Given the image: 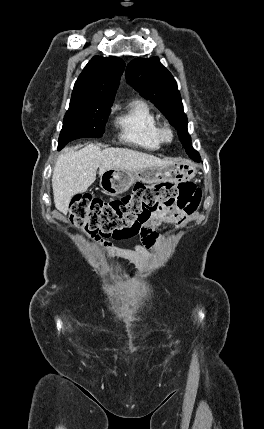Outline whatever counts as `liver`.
Segmentation results:
<instances>
[{
  "label": "liver",
  "instance_id": "liver-1",
  "mask_svg": "<svg viewBox=\"0 0 264 429\" xmlns=\"http://www.w3.org/2000/svg\"><path fill=\"white\" fill-rule=\"evenodd\" d=\"M174 159H160L153 155L126 149L88 146L76 151L61 153L52 175L54 203L57 210L67 214L69 203L75 194L86 192L96 180L99 168L101 176L111 169L137 173L146 168H160L171 164Z\"/></svg>",
  "mask_w": 264,
  "mask_h": 429
}]
</instances>
